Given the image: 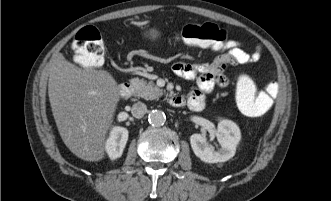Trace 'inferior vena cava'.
Here are the masks:
<instances>
[{
  "label": "inferior vena cava",
  "instance_id": "602c4592",
  "mask_svg": "<svg viewBox=\"0 0 331 201\" xmlns=\"http://www.w3.org/2000/svg\"><path fill=\"white\" fill-rule=\"evenodd\" d=\"M131 113L135 118H142L147 113V106L142 102H137L132 106Z\"/></svg>",
  "mask_w": 331,
  "mask_h": 201
}]
</instances>
